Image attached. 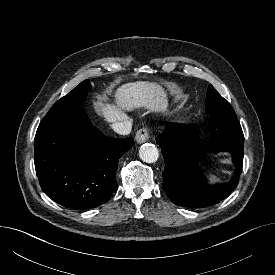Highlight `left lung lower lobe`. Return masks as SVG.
I'll return each instance as SVG.
<instances>
[{
  "label": "left lung lower lobe",
  "instance_id": "1",
  "mask_svg": "<svg viewBox=\"0 0 275 275\" xmlns=\"http://www.w3.org/2000/svg\"><path fill=\"white\" fill-rule=\"evenodd\" d=\"M211 144L197 141L194 126L171 125L156 138L165 160L162 187L178 206L204 208L225 199L238 185L242 171L244 135L241 127H212ZM209 149L215 153L230 152L236 166L232 179L215 186L207 185L199 171L197 160Z\"/></svg>",
  "mask_w": 275,
  "mask_h": 275
}]
</instances>
